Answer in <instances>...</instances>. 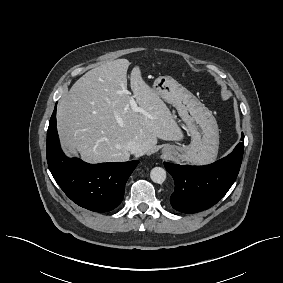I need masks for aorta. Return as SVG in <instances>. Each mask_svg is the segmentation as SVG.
<instances>
[{"instance_id":"1","label":"aorta","mask_w":283,"mask_h":283,"mask_svg":"<svg viewBox=\"0 0 283 283\" xmlns=\"http://www.w3.org/2000/svg\"><path fill=\"white\" fill-rule=\"evenodd\" d=\"M150 178L154 183L161 184L166 179V171L161 167H154L150 172Z\"/></svg>"}]
</instances>
